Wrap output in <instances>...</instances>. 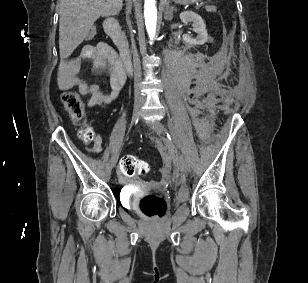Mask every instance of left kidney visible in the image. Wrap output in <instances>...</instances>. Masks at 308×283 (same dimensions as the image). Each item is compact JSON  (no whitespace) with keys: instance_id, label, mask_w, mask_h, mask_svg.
<instances>
[{"instance_id":"obj_1","label":"left kidney","mask_w":308,"mask_h":283,"mask_svg":"<svg viewBox=\"0 0 308 283\" xmlns=\"http://www.w3.org/2000/svg\"><path fill=\"white\" fill-rule=\"evenodd\" d=\"M180 19L184 24L192 22L193 29L197 33L196 38H191L184 34L182 38L185 43L190 45H202L207 41L208 34L206 25L200 15L192 11H186L180 14Z\"/></svg>"}]
</instances>
